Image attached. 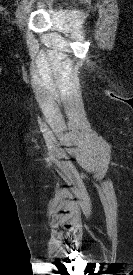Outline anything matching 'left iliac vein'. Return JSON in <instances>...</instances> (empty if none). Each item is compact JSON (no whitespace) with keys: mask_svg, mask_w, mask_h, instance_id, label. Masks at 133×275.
<instances>
[{"mask_svg":"<svg viewBox=\"0 0 133 275\" xmlns=\"http://www.w3.org/2000/svg\"><path fill=\"white\" fill-rule=\"evenodd\" d=\"M30 10V4H26L22 10L17 14V24L19 28L22 30L24 23L26 21L27 13Z\"/></svg>","mask_w":133,"mask_h":275,"instance_id":"1","label":"left iliac vein"}]
</instances>
